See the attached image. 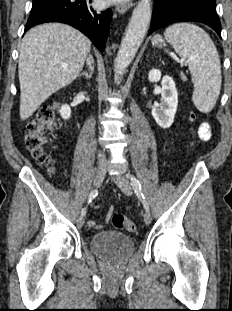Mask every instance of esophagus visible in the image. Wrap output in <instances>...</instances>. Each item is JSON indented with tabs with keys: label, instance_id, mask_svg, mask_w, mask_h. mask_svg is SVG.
Instances as JSON below:
<instances>
[{
	"label": "esophagus",
	"instance_id": "obj_1",
	"mask_svg": "<svg viewBox=\"0 0 232 311\" xmlns=\"http://www.w3.org/2000/svg\"><path fill=\"white\" fill-rule=\"evenodd\" d=\"M131 7H132V3L128 2V3L116 5L115 9L118 13L125 14Z\"/></svg>",
	"mask_w": 232,
	"mask_h": 311
}]
</instances>
